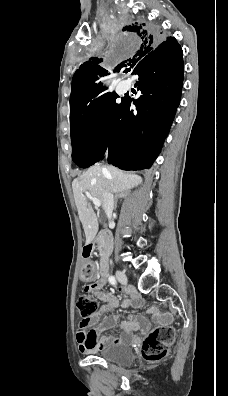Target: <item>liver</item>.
<instances>
[{
  "instance_id": "1",
  "label": "liver",
  "mask_w": 228,
  "mask_h": 396,
  "mask_svg": "<svg viewBox=\"0 0 228 396\" xmlns=\"http://www.w3.org/2000/svg\"><path fill=\"white\" fill-rule=\"evenodd\" d=\"M141 182L142 178L138 175L126 173L113 166L103 167L99 164L91 166L83 175L73 180L75 204L84 228L86 244L94 239L98 231V221L83 193L89 192L104 206L103 194L106 190L111 193L126 192Z\"/></svg>"
}]
</instances>
